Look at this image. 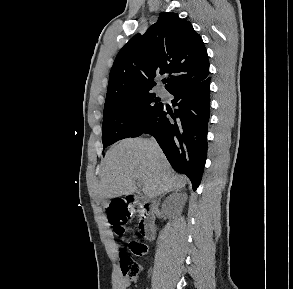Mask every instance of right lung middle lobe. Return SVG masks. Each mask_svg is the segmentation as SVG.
<instances>
[{"label": "right lung middle lobe", "instance_id": "right-lung-middle-lobe-1", "mask_svg": "<svg viewBox=\"0 0 293 289\" xmlns=\"http://www.w3.org/2000/svg\"><path fill=\"white\" fill-rule=\"evenodd\" d=\"M161 105L155 94L150 92L116 98L105 103L102 124L103 148L131 137Z\"/></svg>", "mask_w": 293, "mask_h": 289}]
</instances>
